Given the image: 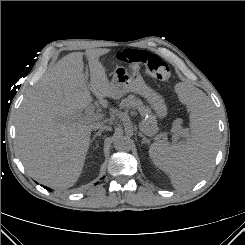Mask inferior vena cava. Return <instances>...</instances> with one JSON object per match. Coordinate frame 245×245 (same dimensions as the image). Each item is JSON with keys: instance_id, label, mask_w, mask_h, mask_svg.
Returning a JSON list of instances; mask_svg holds the SVG:
<instances>
[{"instance_id": "1", "label": "inferior vena cava", "mask_w": 245, "mask_h": 245, "mask_svg": "<svg viewBox=\"0 0 245 245\" xmlns=\"http://www.w3.org/2000/svg\"><path fill=\"white\" fill-rule=\"evenodd\" d=\"M92 128H93L94 130H96V129L111 130V127H110V126H107V125L101 124V123H95V124L92 126Z\"/></svg>"}]
</instances>
